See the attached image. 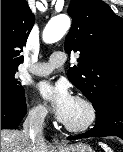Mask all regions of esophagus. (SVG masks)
<instances>
[{"mask_svg":"<svg viewBox=\"0 0 123 152\" xmlns=\"http://www.w3.org/2000/svg\"><path fill=\"white\" fill-rule=\"evenodd\" d=\"M52 143L56 147H60L62 145V143L57 138H53Z\"/></svg>","mask_w":123,"mask_h":152,"instance_id":"34e87169","label":"esophagus"}]
</instances>
